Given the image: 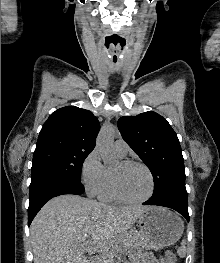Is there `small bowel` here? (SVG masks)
I'll list each match as a JSON object with an SVG mask.
<instances>
[{"mask_svg": "<svg viewBox=\"0 0 220 263\" xmlns=\"http://www.w3.org/2000/svg\"><path fill=\"white\" fill-rule=\"evenodd\" d=\"M143 263H168V261H167L166 258H164V259H158V258H156V257H154V256L148 255V256L144 259Z\"/></svg>", "mask_w": 220, "mask_h": 263, "instance_id": "c3829d8e", "label": "small bowel"}]
</instances>
